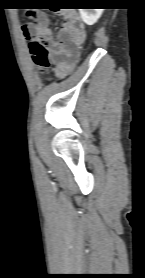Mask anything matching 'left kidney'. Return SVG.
<instances>
[{
  "label": "left kidney",
  "mask_w": 145,
  "mask_h": 278,
  "mask_svg": "<svg viewBox=\"0 0 145 278\" xmlns=\"http://www.w3.org/2000/svg\"><path fill=\"white\" fill-rule=\"evenodd\" d=\"M82 20L87 25H93L102 15L104 9H79Z\"/></svg>",
  "instance_id": "left-kidney-1"
}]
</instances>
